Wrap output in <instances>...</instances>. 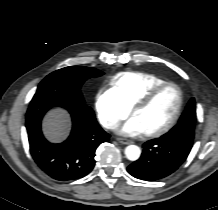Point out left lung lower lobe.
<instances>
[{"label":"left lung lower lobe","mask_w":218,"mask_h":210,"mask_svg":"<svg viewBox=\"0 0 218 210\" xmlns=\"http://www.w3.org/2000/svg\"><path fill=\"white\" fill-rule=\"evenodd\" d=\"M185 134L174 137L162 136L143 144L141 157L128 166L127 171L135 178L155 181L164 178L186 160L193 145L192 134L183 129Z\"/></svg>","instance_id":"obj_1"}]
</instances>
